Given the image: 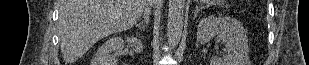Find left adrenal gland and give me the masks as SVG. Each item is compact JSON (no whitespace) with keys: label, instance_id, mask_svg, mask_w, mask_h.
I'll return each instance as SVG.
<instances>
[{"label":"left adrenal gland","instance_id":"left-adrenal-gland-1","mask_svg":"<svg viewBox=\"0 0 309 65\" xmlns=\"http://www.w3.org/2000/svg\"><path fill=\"white\" fill-rule=\"evenodd\" d=\"M199 11H200V8L196 7V9L194 10V19L197 17Z\"/></svg>","mask_w":309,"mask_h":65}]
</instances>
